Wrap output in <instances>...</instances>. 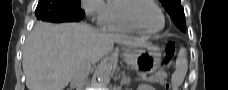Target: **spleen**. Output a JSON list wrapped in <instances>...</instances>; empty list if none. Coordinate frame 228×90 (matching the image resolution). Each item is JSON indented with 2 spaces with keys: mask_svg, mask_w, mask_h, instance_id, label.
I'll list each match as a JSON object with an SVG mask.
<instances>
[{
  "mask_svg": "<svg viewBox=\"0 0 228 90\" xmlns=\"http://www.w3.org/2000/svg\"><path fill=\"white\" fill-rule=\"evenodd\" d=\"M187 70L188 64L186 59V51L184 49H180L176 59V69L171 76V82L174 87L177 88L183 83Z\"/></svg>",
  "mask_w": 228,
  "mask_h": 90,
  "instance_id": "3e777b00",
  "label": "spleen"
}]
</instances>
